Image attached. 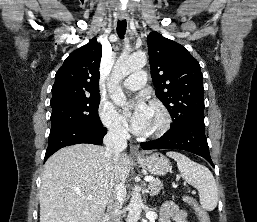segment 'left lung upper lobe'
Masks as SVG:
<instances>
[{
	"label": "left lung upper lobe",
	"mask_w": 257,
	"mask_h": 222,
	"mask_svg": "<svg viewBox=\"0 0 257 222\" xmlns=\"http://www.w3.org/2000/svg\"><path fill=\"white\" fill-rule=\"evenodd\" d=\"M147 44L155 94L171 115L170 128L204 124L203 75L198 61L158 32L148 35Z\"/></svg>",
	"instance_id": "obj_1"
}]
</instances>
